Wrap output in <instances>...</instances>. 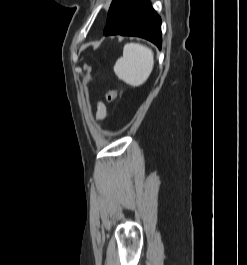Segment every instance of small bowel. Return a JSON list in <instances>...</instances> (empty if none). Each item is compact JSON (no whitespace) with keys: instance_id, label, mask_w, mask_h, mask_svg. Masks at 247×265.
Wrapping results in <instances>:
<instances>
[{"instance_id":"1","label":"small bowel","mask_w":247,"mask_h":265,"mask_svg":"<svg viewBox=\"0 0 247 265\" xmlns=\"http://www.w3.org/2000/svg\"><path fill=\"white\" fill-rule=\"evenodd\" d=\"M106 116V108L103 103H99L97 106V117L99 120H103Z\"/></svg>"}]
</instances>
